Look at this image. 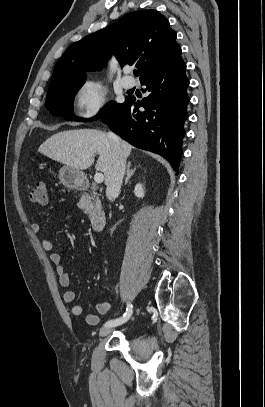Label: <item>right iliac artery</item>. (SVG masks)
<instances>
[{
	"mask_svg": "<svg viewBox=\"0 0 265 407\" xmlns=\"http://www.w3.org/2000/svg\"><path fill=\"white\" fill-rule=\"evenodd\" d=\"M132 308H133L132 304L128 303L126 312L124 313V315L122 317L113 319V320H109L104 324V326L113 327V326H117V325L125 323L132 315Z\"/></svg>",
	"mask_w": 265,
	"mask_h": 407,
	"instance_id": "1",
	"label": "right iliac artery"
}]
</instances>
